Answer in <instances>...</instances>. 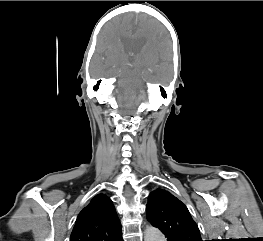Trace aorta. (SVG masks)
<instances>
[{"mask_svg": "<svg viewBox=\"0 0 263 241\" xmlns=\"http://www.w3.org/2000/svg\"><path fill=\"white\" fill-rule=\"evenodd\" d=\"M144 241H166L163 234L154 227H147L144 232Z\"/></svg>", "mask_w": 263, "mask_h": 241, "instance_id": "1", "label": "aorta"}]
</instances>
